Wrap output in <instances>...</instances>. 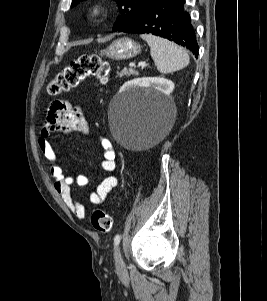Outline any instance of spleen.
Instances as JSON below:
<instances>
[{"mask_svg": "<svg viewBox=\"0 0 267 301\" xmlns=\"http://www.w3.org/2000/svg\"><path fill=\"white\" fill-rule=\"evenodd\" d=\"M150 46L151 57L160 73H172L185 68L189 64L187 52L167 39L154 35H141Z\"/></svg>", "mask_w": 267, "mask_h": 301, "instance_id": "obj_1", "label": "spleen"}]
</instances>
